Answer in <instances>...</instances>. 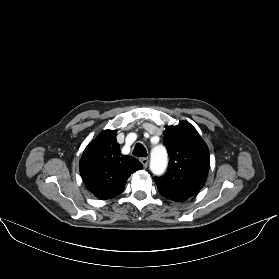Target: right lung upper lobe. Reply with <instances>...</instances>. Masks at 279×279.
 Instances as JSON below:
<instances>
[{
  "label": "right lung upper lobe",
  "instance_id": "cb5924a9",
  "mask_svg": "<svg viewBox=\"0 0 279 279\" xmlns=\"http://www.w3.org/2000/svg\"><path fill=\"white\" fill-rule=\"evenodd\" d=\"M142 168L135 158L120 153L116 131L105 130L84 150L79 169L87 187L105 200L121 193L129 176Z\"/></svg>",
  "mask_w": 279,
  "mask_h": 279
}]
</instances>
